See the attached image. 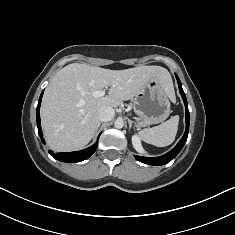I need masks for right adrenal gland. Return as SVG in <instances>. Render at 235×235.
I'll return each instance as SVG.
<instances>
[{
	"mask_svg": "<svg viewBox=\"0 0 235 235\" xmlns=\"http://www.w3.org/2000/svg\"><path fill=\"white\" fill-rule=\"evenodd\" d=\"M100 125H101V123H99L98 128L100 127ZM98 128H97V130H98Z\"/></svg>",
	"mask_w": 235,
	"mask_h": 235,
	"instance_id": "1",
	"label": "right adrenal gland"
}]
</instances>
